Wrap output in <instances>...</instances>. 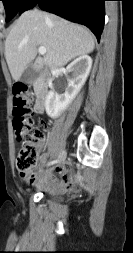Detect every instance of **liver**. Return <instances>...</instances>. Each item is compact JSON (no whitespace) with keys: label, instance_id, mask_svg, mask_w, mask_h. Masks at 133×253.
<instances>
[{"label":"liver","instance_id":"1","mask_svg":"<svg viewBox=\"0 0 133 253\" xmlns=\"http://www.w3.org/2000/svg\"><path fill=\"white\" fill-rule=\"evenodd\" d=\"M41 46L46 54L36 58ZM94 47V37L86 27L35 9L24 12L14 23L5 41V58L12 78L18 81L30 65L37 71L44 66L63 67Z\"/></svg>","mask_w":133,"mask_h":253}]
</instances>
